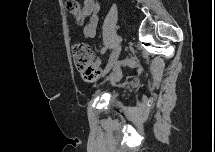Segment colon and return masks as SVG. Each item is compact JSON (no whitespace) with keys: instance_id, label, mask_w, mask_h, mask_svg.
<instances>
[{"instance_id":"colon-1","label":"colon","mask_w":215,"mask_h":152,"mask_svg":"<svg viewBox=\"0 0 215 152\" xmlns=\"http://www.w3.org/2000/svg\"><path fill=\"white\" fill-rule=\"evenodd\" d=\"M66 8L79 24H83L88 17L83 12L81 3L78 1H68ZM72 58L76 69L81 73L84 80L89 81L99 75L100 70L95 63L94 53L87 44L79 43L74 45L72 48Z\"/></svg>"}]
</instances>
